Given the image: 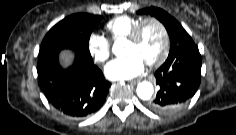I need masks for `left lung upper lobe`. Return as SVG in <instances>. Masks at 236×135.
I'll list each match as a JSON object with an SVG mask.
<instances>
[{
	"label": "left lung upper lobe",
	"instance_id": "left-lung-upper-lobe-1",
	"mask_svg": "<svg viewBox=\"0 0 236 135\" xmlns=\"http://www.w3.org/2000/svg\"><path fill=\"white\" fill-rule=\"evenodd\" d=\"M137 13L150 14L164 24L170 37V51L168 58L176 56L190 47L196 46L181 24L166 11L156 7H149L139 10Z\"/></svg>",
	"mask_w": 236,
	"mask_h": 135
}]
</instances>
